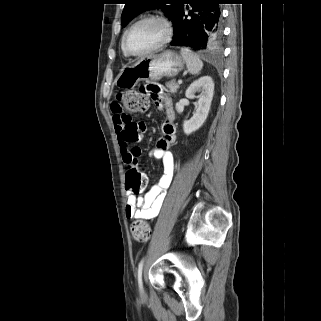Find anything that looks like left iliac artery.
<instances>
[{
  "label": "left iliac artery",
  "mask_w": 321,
  "mask_h": 321,
  "mask_svg": "<svg viewBox=\"0 0 321 321\" xmlns=\"http://www.w3.org/2000/svg\"><path fill=\"white\" fill-rule=\"evenodd\" d=\"M143 265H144V258L140 261L139 265H138V284H139V288L142 287V270H143Z\"/></svg>",
  "instance_id": "44dca946"
}]
</instances>
